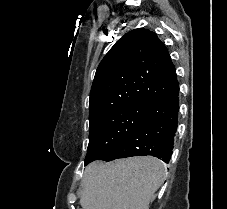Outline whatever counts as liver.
<instances>
[{
  "label": "liver",
  "instance_id": "liver-1",
  "mask_svg": "<svg viewBox=\"0 0 227 209\" xmlns=\"http://www.w3.org/2000/svg\"><path fill=\"white\" fill-rule=\"evenodd\" d=\"M164 165L155 157L94 161L85 169L82 209H149L163 183Z\"/></svg>",
  "mask_w": 227,
  "mask_h": 209
}]
</instances>
